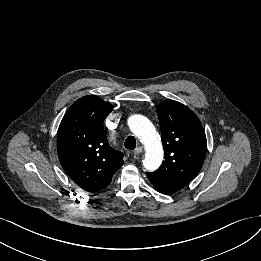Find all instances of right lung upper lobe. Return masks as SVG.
Returning <instances> with one entry per match:
<instances>
[{
	"label": "right lung upper lobe",
	"mask_w": 261,
	"mask_h": 261,
	"mask_svg": "<svg viewBox=\"0 0 261 261\" xmlns=\"http://www.w3.org/2000/svg\"><path fill=\"white\" fill-rule=\"evenodd\" d=\"M113 105L95 95L78 99L67 110L57 132L60 163L83 190L106 188L123 165V154L108 144L103 121Z\"/></svg>",
	"instance_id": "right-lung-upper-lobe-1"
}]
</instances>
